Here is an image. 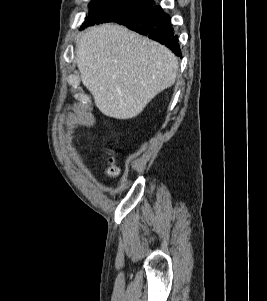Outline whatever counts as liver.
<instances>
[{
	"instance_id": "liver-1",
	"label": "liver",
	"mask_w": 267,
	"mask_h": 301,
	"mask_svg": "<svg viewBox=\"0 0 267 301\" xmlns=\"http://www.w3.org/2000/svg\"><path fill=\"white\" fill-rule=\"evenodd\" d=\"M76 44L81 81L106 116L134 118L175 83L178 58L123 26L104 24L87 30Z\"/></svg>"
}]
</instances>
